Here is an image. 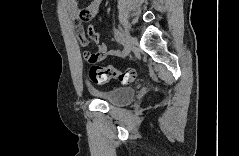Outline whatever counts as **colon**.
Wrapping results in <instances>:
<instances>
[{"label": "colon", "mask_w": 239, "mask_h": 156, "mask_svg": "<svg viewBox=\"0 0 239 156\" xmlns=\"http://www.w3.org/2000/svg\"><path fill=\"white\" fill-rule=\"evenodd\" d=\"M79 19L83 21L90 20V15L87 11L82 10L79 14ZM90 78L95 83H105L109 80H117L122 84L132 82L136 77V71L132 68L118 70L112 67L93 66L90 69Z\"/></svg>", "instance_id": "1"}]
</instances>
